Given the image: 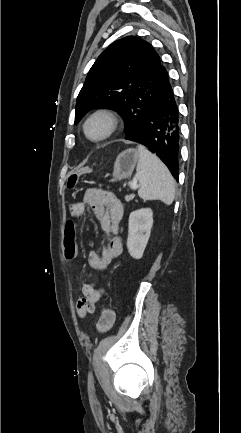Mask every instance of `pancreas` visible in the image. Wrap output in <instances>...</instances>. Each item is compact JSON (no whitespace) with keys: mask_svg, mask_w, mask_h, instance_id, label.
<instances>
[{"mask_svg":"<svg viewBox=\"0 0 241 433\" xmlns=\"http://www.w3.org/2000/svg\"><path fill=\"white\" fill-rule=\"evenodd\" d=\"M133 198H134V194H130V195H126V196H125V200H126L127 202L131 201Z\"/></svg>","mask_w":241,"mask_h":433,"instance_id":"pancreas-1","label":"pancreas"}]
</instances>
